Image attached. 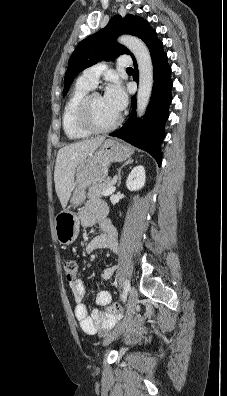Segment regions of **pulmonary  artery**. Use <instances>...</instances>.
I'll return each mask as SVG.
<instances>
[{
    "label": "pulmonary artery",
    "mask_w": 227,
    "mask_h": 396,
    "mask_svg": "<svg viewBox=\"0 0 227 396\" xmlns=\"http://www.w3.org/2000/svg\"><path fill=\"white\" fill-rule=\"evenodd\" d=\"M117 64L120 67H129L132 64V60L129 56H121L118 59ZM104 69H105V65L102 63L93 65V66L87 68L83 72V74L81 75L79 80L84 82L85 84L89 85L90 87L94 88Z\"/></svg>",
    "instance_id": "1"
}]
</instances>
